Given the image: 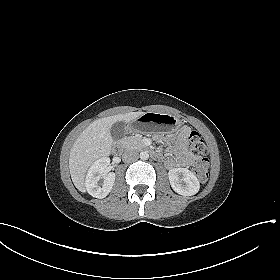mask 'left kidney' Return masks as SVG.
I'll return each instance as SVG.
<instances>
[{
    "label": "left kidney",
    "mask_w": 280,
    "mask_h": 280,
    "mask_svg": "<svg viewBox=\"0 0 280 280\" xmlns=\"http://www.w3.org/2000/svg\"><path fill=\"white\" fill-rule=\"evenodd\" d=\"M168 177L172 189L180 195L192 196L199 191V180L187 168H173Z\"/></svg>",
    "instance_id": "5707ae66"
}]
</instances>
